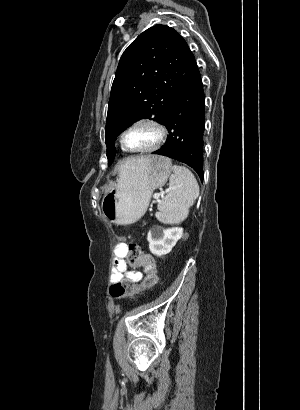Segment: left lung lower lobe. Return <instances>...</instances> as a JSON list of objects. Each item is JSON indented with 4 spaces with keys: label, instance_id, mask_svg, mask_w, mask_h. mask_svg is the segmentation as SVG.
<instances>
[{
    "label": "left lung lower lobe",
    "instance_id": "left-lung-lower-lobe-1",
    "mask_svg": "<svg viewBox=\"0 0 300 410\" xmlns=\"http://www.w3.org/2000/svg\"><path fill=\"white\" fill-rule=\"evenodd\" d=\"M162 124L168 129L169 136L165 145L153 154L184 162L203 179L205 96L196 61Z\"/></svg>",
    "mask_w": 300,
    "mask_h": 410
}]
</instances>
